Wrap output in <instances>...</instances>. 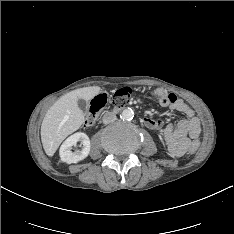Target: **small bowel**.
<instances>
[{"label": "small bowel", "instance_id": "small-bowel-1", "mask_svg": "<svg viewBox=\"0 0 234 234\" xmlns=\"http://www.w3.org/2000/svg\"><path fill=\"white\" fill-rule=\"evenodd\" d=\"M157 92L160 94L157 98L160 106L186 116L177 125L168 124L163 129V140L168 151L173 156L181 157L193 140L198 139L201 129L200 121L195 116L194 110L175 94L165 91ZM144 123L153 130H158L163 126V120H153L149 117L144 118Z\"/></svg>", "mask_w": 234, "mask_h": 234}]
</instances>
